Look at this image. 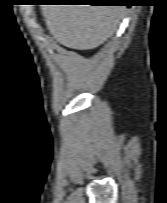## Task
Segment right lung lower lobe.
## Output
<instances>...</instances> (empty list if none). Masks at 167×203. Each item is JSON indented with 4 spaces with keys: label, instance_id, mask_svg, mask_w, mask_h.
<instances>
[{
    "label": "right lung lower lobe",
    "instance_id": "1",
    "mask_svg": "<svg viewBox=\"0 0 167 203\" xmlns=\"http://www.w3.org/2000/svg\"><path fill=\"white\" fill-rule=\"evenodd\" d=\"M96 1H112V2L114 1V2H115V1H117V0H96ZM104 3H105V2H104ZM128 6H129V5H128Z\"/></svg>",
    "mask_w": 167,
    "mask_h": 203
}]
</instances>
